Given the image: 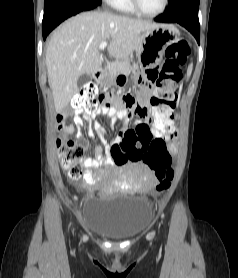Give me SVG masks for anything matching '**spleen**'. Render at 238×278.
Wrapping results in <instances>:
<instances>
[{
  "label": "spleen",
  "instance_id": "3e777b00",
  "mask_svg": "<svg viewBox=\"0 0 238 278\" xmlns=\"http://www.w3.org/2000/svg\"><path fill=\"white\" fill-rule=\"evenodd\" d=\"M191 72H192V65H190V67L188 68V71H187V78L190 77Z\"/></svg>",
  "mask_w": 238,
  "mask_h": 278
}]
</instances>
